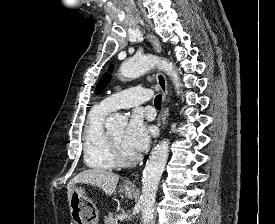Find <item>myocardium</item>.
Instances as JSON below:
<instances>
[{"label": "myocardium", "mask_w": 275, "mask_h": 224, "mask_svg": "<svg viewBox=\"0 0 275 224\" xmlns=\"http://www.w3.org/2000/svg\"><path fill=\"white\" fill-rule=\"evenodd\" d=\"M105 141H106V145L110 153L111 159L115 165L127 167L136 163L138 159L137 156L133 155L130 157H125L121 154V152L119 151V148L117 147L115 142L112 140L109 131H106Z\"/></svg>", "instance_id": "myocardium-1"}]
</instances>
